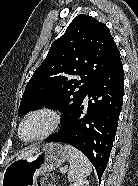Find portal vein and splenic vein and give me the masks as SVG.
Returning a JSON list of instances; mask_svg holds the SVG:
<instances>
[{"label": "portal vein and splenic vein", "mask_w": 138, "mask_h": 186, "mask_svg": "<svg viewBox=\"0 0 138 186\" xmlns=\"http://www.w3.org/2000/svg\"><path fill=\"white\" fill-rule=\"evenodd\" d=\"M61 172H62V173H66V169L62 168V169H61Z\"/></svg>", "instance_id": "1"}]
</instances>
